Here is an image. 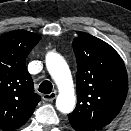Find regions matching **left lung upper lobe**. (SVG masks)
Segmentation results:
<instances>
[{
    "mask_svg": "<svg viewBox=\"0 0 131 131\" xmlns=\"http://www.w3.org/2000/svg\"><path fill=\"white\" fill-rule=\"evenodd\" d=\"M77 105L68 115L73 128L96 131L119 113L128 90L127 72L119 54L106 42L77 32Z\"/></svg>",
    "mask_w": 131,
    "mask_h": 131,
    "instance_id": "obj_1",
    "label": "left lung upper lobe"
}]
</instances>
